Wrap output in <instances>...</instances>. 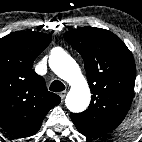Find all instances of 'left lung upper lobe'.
I'll return each mask as SVG.
<instances>
[{"label": "left lung upper lobe", "mask_w": 142, "mask_h": 142, "mask_svg": "<svg viewBox=\"0 0 142 142\" xmlns=\"http://www.w3.org/2000/svg\"><path fill=\"white\" fill-rule=\"evenodd\" d=\"M64 38L82 56L93 94L88 109L71 113V119L87 137L102 136L118 127L130 108L134 58L126 45L105 29L83 27L67 31Z\"/></svg>", "instance_id": "obj_1"}]
</instances>
